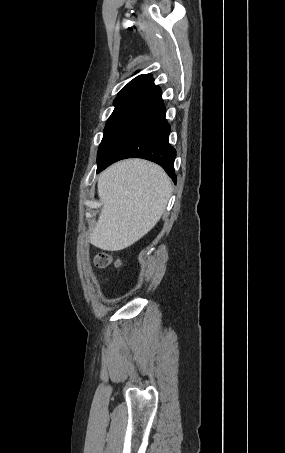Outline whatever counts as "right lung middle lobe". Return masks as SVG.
<instances>
[{
	"label": "right lung middle lobe",
	"instance_id": "dd1d6c3e",
	"mask_svg": "<svg viewBox=\"0 0 285 453\" xmlns=\"http://www.w3.org/2000/svg\"><path fill=\"white\" fill-rule=\"evenodd\" d=\"M123 100H115L114 101V106H115V109L113 111V113L111 114V116L109 117L106 125H105V129H104V133L106 132V130L108 129L109 125L111 124L112 120H113V117L115 116L116 112L118 111V109L120 108V106L123 104Z\"/></svg>",
	"mask_w": 285,
	"mask_h": 453
}]
</instances>
